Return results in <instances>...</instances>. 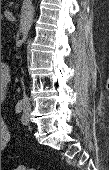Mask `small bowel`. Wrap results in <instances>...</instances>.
<instances>
[{
    "mask_svg": "<svg viewBox=\"0 0 109 170\" xmlns=\"http://www.w3.org/2000/svg\"><path fill=\"white\" fill-rule=\"evenodd\" d=\"M10 140V133L4 122L1 123V148H5Z\"/></svg>",
    "mask_w": 109,
    "mask_h": 170,
    "instance_id": "small-bowel-1",
    "label": "small bowel"
}]
</instances>
